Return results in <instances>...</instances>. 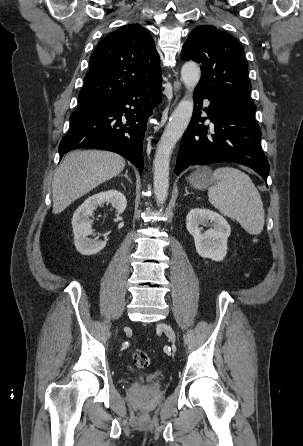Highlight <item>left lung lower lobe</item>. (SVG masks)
<instances>
[{
    "mask_svg": "<svg viewBox=\"0 0 303 446\" xmlns=\"http://www.w3.org/2000/svg\"><path fill=\"white\" fill-rule=\"evenodd\" d=\"M210 104L202 109V100ZM194 113L181 143L175 173L190 165L236 162L255 170L265 181L269 163L261 148L260 127L249 113L228 98L196 87ZM207 117H201L202 111ZM206 119L212 127L203 126Z\"/></svg>",
    "mask_w": 303,
    "mask_h": 446,
    "instance_id": "obj_1",
    "label": "left lung lower lobe"
}]
</instances>
